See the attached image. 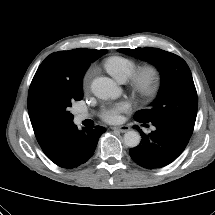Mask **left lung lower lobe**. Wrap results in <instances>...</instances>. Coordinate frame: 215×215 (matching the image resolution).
<instances>
[{
    "mask_svg": "<svg viewBox=\"0 0 215 215\" xmlns=\"http://www.w3.org/2000/svg\"><path fill=\"white\" fill-rule=\"evenodd\" d=\"M152 124L156 129L149 135H145L138 126H134L142 135V139L138 146L129 150L131 158L147 169L161 168L174 161L183 152L190 139L168 124L158 122Z\"/></svg>",
    "mask_w": 215,
    "mask_h": 215,
    "instance_id": "0a47b994",
    "label": "left lung lower lobe"
}]
</instances>
